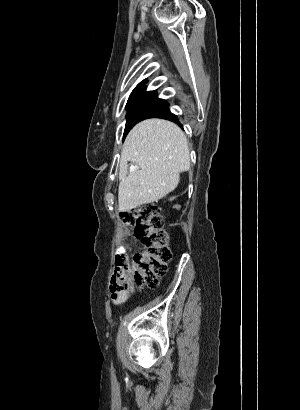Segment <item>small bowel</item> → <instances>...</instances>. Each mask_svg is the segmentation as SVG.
I'll list each match as a JSON object with an SVG mask.
<instances>
[{"mask_svg":"<svg viewBox=\"0 0 300 410\" xmlns=\"http://www.w3.org/2000/svg\"><path fill=\"white\" fill-rule=\"evenodd\" d=\"M118 251L121 253L124 251L122 247L118 249ZM130 297L129 292H113L111 294V300L115 306H121L123 305Z\"/></svg>","mask_w":300,"mask_h":410,"instance_id":"obj_1","label":"small bowel"}]
</instances>
